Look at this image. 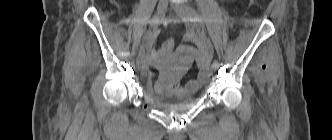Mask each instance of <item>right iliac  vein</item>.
I'll use <instances>...</instances> for the list:
<instances>
[{"mask_svg": "<svg viewBox=\"0 0 332 140\" xmlns=\"http://www.w3.org/2000/svg\"><path fill=\"white\" fill-rule=\"evenodd\" d=\"M167 5H168V0H159L157 13L160 15L163 14L164 10L167 8ZM144 58H145V47L141 45L136 60L137 65H140L143 62Z\"/></svg>", "mask_w": 332, "mask_h": 140, "instance_id": "63e3f726", "label": "right iliac vein"}]
</instances>
